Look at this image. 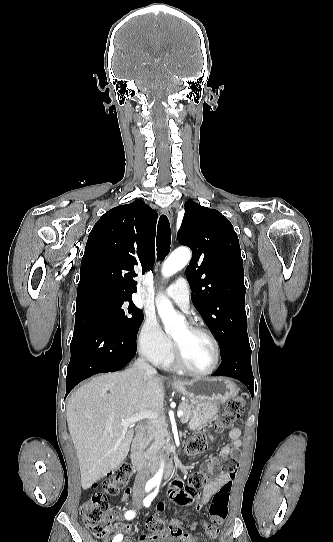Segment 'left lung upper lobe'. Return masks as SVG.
Here are the masks:
<instances>
[{
  "instance_id": "1",
  "label": "left lung upper lobe",
  "mask_w": 333,
  "mask_h": 542,
  "mask_svg": "<svg viewBox=\"0 0 333 542\" xmlns=\"http://www.w3.org/2000/svg\"><path fill=\"white\" fill-rule=\"evenodd\" d=\"M177 237L180 244L192 250L186 268L191 299L215 334L222 357L236 340L248 337L237 233L219 211L187 200Z\"/></svg>"
}]
</instances>
